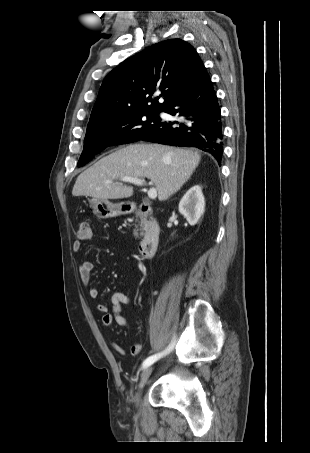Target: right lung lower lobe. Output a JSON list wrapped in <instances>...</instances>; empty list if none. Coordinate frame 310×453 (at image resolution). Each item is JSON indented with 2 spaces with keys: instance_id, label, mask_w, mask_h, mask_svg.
I'll return each mask as SVG.
<instances>
[{
  "instance_id": "98d812e1",
  "label": "right lung lower lobe",
  "mask_w": 310,
  "mask_h": 453,
  "mask_svg": "<svg viewBox=\"0 0 310 453\" xmlns=\"http://www.w3.org/2000/svg\"><path fill=\"white\" fill-rule=\"evenodd\" d=\"M162 111L176 115L179 120L160 121L141 138L142 140L197 147L212 154L220 164L223 152L221 111L205 67Z\"/></svg>"
}]
</instances>
